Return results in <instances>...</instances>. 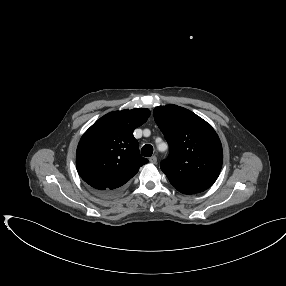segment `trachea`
Returning a JSON list of instances; mask_svg holds the SVG:
<instances>
[{
    "instance_id": "1",
    "label": "trachea",
    "mask_w": 286,
    "mask_h": 286,
    "mask_svg": "<svg viewBox=\"0 0 286 286\" xmlns=\"http://www.w3.org/2000/svg\"><path fill=\"white\" fill-rule=\"evenodd\" d=\"M152 153H153V147L150 144L144 145L141 149V154L144 157H150V156H152Z\"/></svg>"
}]
</instances>
